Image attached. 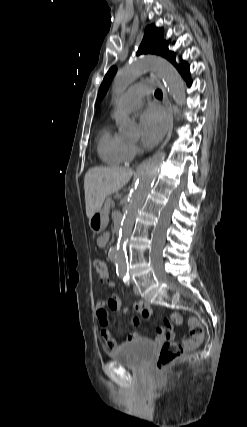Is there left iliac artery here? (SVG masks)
Segmentation results:
<instances>
[{"label":"left iliac artery","instance_id":"1","mask_svg":"<svg viewBox=\"0 0 247 427\" xmlns=\"http://www.w3.org/2000/svg\"><path fill=\"white\" fill-rule=\"evenodd\" d=\"M121 278L123 279V281H124V283L126 284V285H129L130 284V282H129V280H130V276H129V274L127 273V274H124V275H121Z\"/></svg>","mask_w":247,"mask_h":427}]
</instances>
